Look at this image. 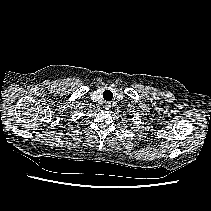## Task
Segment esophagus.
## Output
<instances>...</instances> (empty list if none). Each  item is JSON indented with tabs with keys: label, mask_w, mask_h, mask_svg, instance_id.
I'll list each match as a JSON object with an SVG mask.
<instances>
[{
	"label": "esophagus",
	"mask_w": 211,
	"mask_h": 211,
	"mask_svg": "<svg viewBox=\"0 0 211 211\" xmlns=\"http://www.w3.org/2000/svg\"><path fill=\"white\" fill-rule=\"evenodd\" d=\"M110 107H111V104H110V103H108V102L105 103L104 108H105L106 110H109Z\"/></svg>",
	"instance_id": "34e87169"
}]
</instances>
